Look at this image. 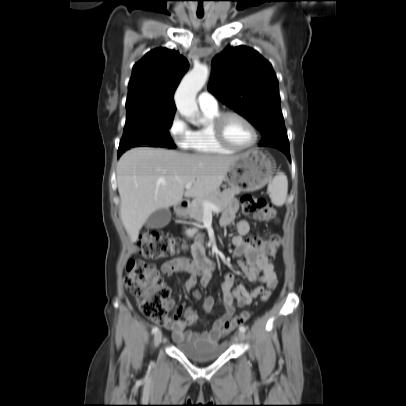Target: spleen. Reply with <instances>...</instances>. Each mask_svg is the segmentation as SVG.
<instances>
[{"instance_id": "3e777b00", "label": "spleen", "mask_w": 406, "mask_h": 406, "mask_svg": "<svg viewBox=\"0 0 406 406\" xmlns=\"http://www.w3.org/2000/svg\"><path fill=\"white\" fill-rule=\"evenodd\" d=\"M268 192L271 196V201L277 206H282L287 197L288 180L283 172H279L268 186Z\"/></svg>"}]
</instances>
